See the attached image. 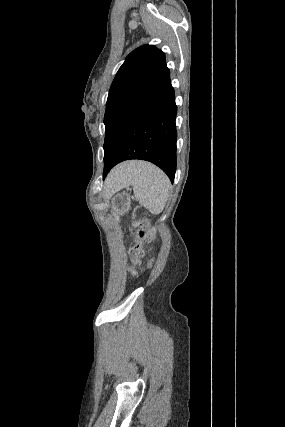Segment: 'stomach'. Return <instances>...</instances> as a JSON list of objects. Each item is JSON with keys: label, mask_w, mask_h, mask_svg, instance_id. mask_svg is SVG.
<instances>
[{"label": "stomach", "mask_w": 285, "mask_h": 427, "mask_svg": "<svg viewBox=\"0 0 285 427\" xmlns=\"http://www.w3.org/2000/svg\"><path fill=\"white\" fill-rule=\"evenodd\" d=\"M130 204L131 197L126 191H116L111 198V213L119 217L129 210Z\"/></svg>", "instance_id": "0dacf381"}]
</instances>
